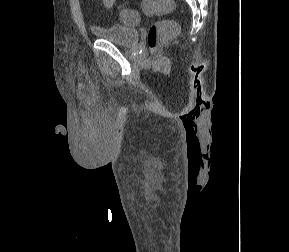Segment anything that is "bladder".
<instances>
[{
    "instance_id": "31cf9c89",
    "label": "bladder",
    "mask_w": 289,
    "mask_h": 252,
    "mask_svg": "<svg viewBox=\"0 0 289 252\" xmlns=\"http://www.w3.org/2000/svg\"><path fill=\"white\" fill-rule=\"evenodd\" d=\"M91 31L101 39L123 46L134 45L139 39V32L136 28L121 25L92 26Z\"/></svg>"
}]
</instances>
